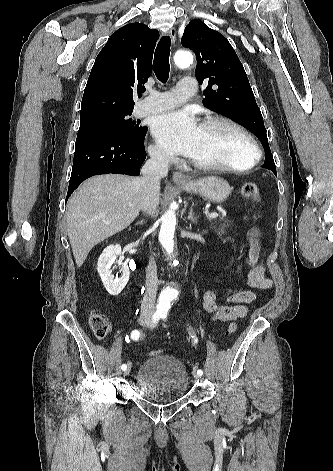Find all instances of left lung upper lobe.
Segmentation results:
<instances>
[{
    "label": "left lung upper lobe",
    "mask_w": 333,
    "mask_h": 471,
    "mask_svg": "<svg viewBox=\"0 0 333 471\" xmlns=\"http://www.w3.org/2000/svg\"><path fill=\"white\" fill-rule=\"evenodd\" d=\"M182 45L196 54L195 75L199 84L208 83L203 92L204 105L251 130L265 149L262 167L277 175L261 111L243 65L229 41L204 22L192 20L185 28Z\"/></svg>",
    "instance_id": "left-lung-upper-lobe-1"
}]
</instances>
